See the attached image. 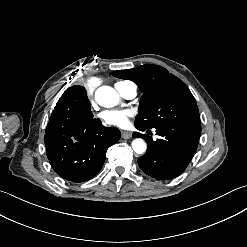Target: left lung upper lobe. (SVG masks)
<instances>
[{"mask_svg":"<svg viewBox=\"0 0 247 247\" xmlns=\"http://www.w3.org/2000/svg\"><path fill=\"white\" fill-rule=\"evenodd\" d=\"M110 74L134 81L143 92L135 127L177 129L200 137L201 122L195 98L188 87L165 68L146 64Z\"/></svg>","mask_w":247,"mask_h":247,"instance_id":"5c2ea615","label":"left lung upper lobe"}]
</instances>
